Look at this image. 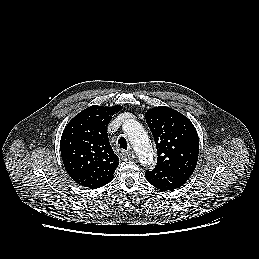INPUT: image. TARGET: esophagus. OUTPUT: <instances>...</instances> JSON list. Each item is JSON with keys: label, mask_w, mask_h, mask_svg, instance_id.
I'll return each instance as SVG.
<instances>
[{"label": "esophagus", "mask_w": 259, "mask_h": 259, "mask_svg": "<svg viewBox=\"0 0 259 259\" xmlns=\"http://www.w3.org/2000/svg\"><path fill=\"white\" fill-rule=\"evenodd\" d=\"M120 155L125 160H131L135 158L133 151H122Z\"/></svg>", "instance_id": "34e87169"}]
</instances>
